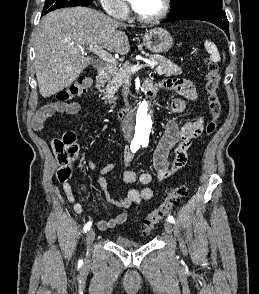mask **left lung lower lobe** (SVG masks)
<instances>
[{
	"label": "left lung lower lobe",
	"mask_w": 259,
	"mask_h": 294,
	"mask_svg": "<svg viewBox=\"0 0 259 294\" xmlns=\"http://www.w3.org/2000/svg\"><path fill=\"white\" fill-rule=\"evenodd\" d=\"M179 20H203L211 22L225 31L229 37V24L226 13L223 9L219 8H200L191 12L169 17L163 22L179 21Z\"/></svg>",
	"instance_id": "1"
}]
</instances>
